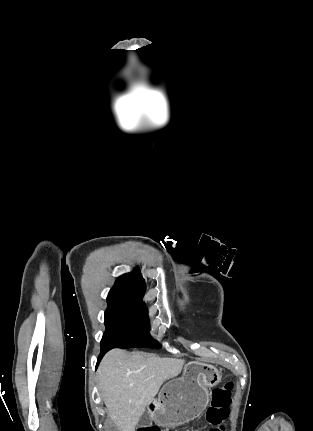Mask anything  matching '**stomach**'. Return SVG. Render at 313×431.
I'll use <instances>...</instances> for the list:
<instances>
[{"label": "stomach", "mask_w": 313, "mask_h": 431, "mask_svg": "<svg viewBox=\"0 0 313 431\" xmlns=\"http://www.w3.org/2000/svg\"><path fill=\"white\" fill-rule=\"evenodd\" d=\"M220 381L221 374L216 367L199 361L189 362L182 376L167 382L158 399L150 403L155 422L175 427L194 420L208 405V388Z\"/></svg>", "instance_id": "0dacf381"}]
</instances>
